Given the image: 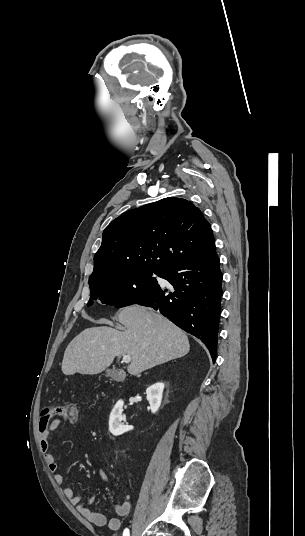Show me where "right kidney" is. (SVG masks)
I'll return each mask as SVG.
<instances>
[{
  "label": "right kidney",
  "mask_w": 305,
  "mask_h": 536,
  "mask_svg": "<svg viewBox=\"0 0 305 536\" xmlns=\"http://www.w3.org/2000/svg\"><path fill=\"white\" fill-rule=\"evenodd\" d=\"M165 386L162 384V382H157V384H153V386H149L146 390L147 394V400L150 404L151 412L155 414L157 410H159L162 402V394ZM123 402L122 400H119L117 404H115L111 414H110V420H109V432L113 434V436H121V434H124V432H127L129 426H124L122 424L123 416Z\"/></svg>",
  "instance_id": "ca27d5eb"
}]
</instances>
